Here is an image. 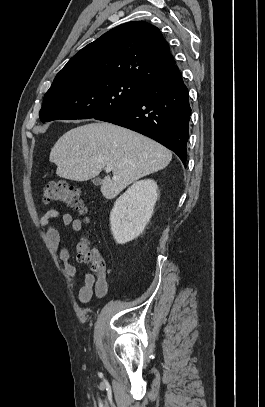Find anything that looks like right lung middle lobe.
Masks as SVG:
<instances>
[{
    "label": "right lung middle lobe",
    "mask_w": 265,
    "mask_h": 407,
    "mask_svg": "<svg viewBox=\"0 0 265 407\" xmlns=\"http://www.w3.org/2000/svg\"><path fill=\"white\" fill-rule=\"evenodd\" d=\"M148 87L103 76L53 82L44 96L40 120L97 118L134 104Z\"/></svg>",
    "instance_id": "obj_1"
}]
</instances>
